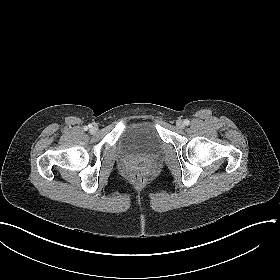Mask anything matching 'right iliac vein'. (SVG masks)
<instances>
[{
	"label": "right iliac vein",
	"instance_id": "obj_1",
	"mask_svg": "<svg viewBox=\"0 0 280 280\" xmlns=\"http://www.w3.org/2000/svg\"><path fill=\"white\" fill-rule=\"evenodd\" d=\"M98 131V128L96 126L91 127L90 132L96 133Z\"/></svg>",
	"mask_w": 280,
	"mask_h": 280
}]
</instances>
